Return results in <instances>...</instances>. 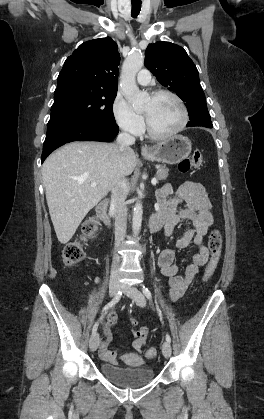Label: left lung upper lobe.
Masks as SVG:
<instances>
[{"label": "left lung upper lobe", "instance_id": "obj_1", "mask_svg": "<svg viewBox=\"0 0 264 419\" xmlns=\"http://www.w3.org/2000/svg\"><path fill=\"white\" fill-rule=\"evenodd\" d=\"M145 56V66L185 102L189 115L210 116L197 68L181 46L164 41L149 44Z\"/></svg>", "mask_w": 264, "mask_h": 419}]
</instances>
